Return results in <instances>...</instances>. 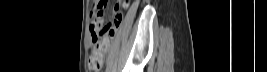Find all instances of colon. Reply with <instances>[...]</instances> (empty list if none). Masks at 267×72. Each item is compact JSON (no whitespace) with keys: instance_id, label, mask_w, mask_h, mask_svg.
I'll return each instance as SVG.
<instances>
[{"instance_id":"5ec220e1","label":"colon","mask_w":267,"mask_h":72,"mask_svg":"<svg viewBox=\"0 0 267 72\" xmlns=\"http://www.w3.org/2000/svg\"><path fill=\"white\" fill-rule=\"evenodd\" d=\"M105 6H106V0H97L94 2L93 13H92L93 20L90 24V30L95 40H98L102 34H104L105 37L112 38L118 27L117 22H114L102 28L100 32L98 31V26L100 25V19L102 18V12ZM107 46L108 42L106 41H101L96 43L88 61V67L91 71L100 70L103 64Z\"/></svg>"}]
</instances>
